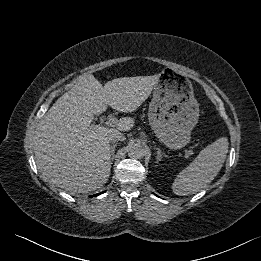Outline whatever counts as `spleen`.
Segmentation results:
<instances>
[{
	"mask_svg": "<svg viewBox=\"0 0 261 261\" xmlns=\"http://www.w3.org/2000/svg\"><path fill=\"white\" fill-rule=\"evenodd\" d=\"M228 139L221 137L206 146L175 178L172 191L179 196L194 194L206 187L221 170L228 153Z\"/></svg>",
	"mask_w": 261,
	"mask_h": 261,
	"instance_id": "3e777b00",
	"label": "spleen"
}]
</instances>
